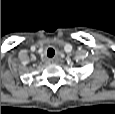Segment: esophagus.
I'll return each instance as SVG.
<instances>
[{
	"instance_id": "obj_1",
	"label": "esophagus",
	"mask_w": 115,
	"mask_h": 114,
	"mask_svg": "<svg viewBox=\"0 0 115 114\" xmlns=\"http://www.w3.org/2000/svg\"><path fill=\"white\" fill-rule=\"evenodd\" d=\"M50 63H55L57 60L55 58L49 59L48 60Z\"/></svg>"
}]
</instances>
